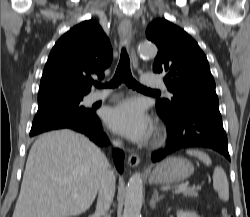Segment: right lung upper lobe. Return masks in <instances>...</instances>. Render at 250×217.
Instances as JSON below:
<instances>
[{
	"label": "right lung upper lobe",
	"instance_id": "obj_1",
	"mask_svg": "<svg viewBox=\"0 0 250 217\" xmlns=\"http://www.w3.org/2000/svg\"><path fill=\"white\" fill-rule=\"evenodd\" d=\"M112 47L100 25L88 20L70 29L54 45L44 67L38 108L82 99L91 90V75L104 77Z\"/></svg>",
	"mask_w": 250,
	"mask_h": 217
}]
</instances>
